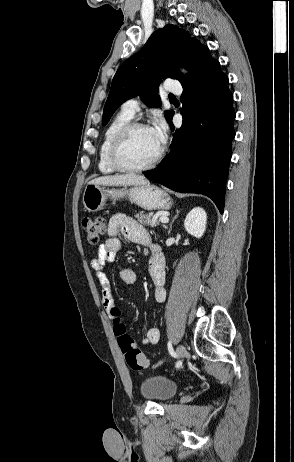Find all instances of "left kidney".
I'll return each instance as SVG.
<instances>
[{
	"label": "left kidney",
	"mask_w": 294,
	"mask_h": 462,
	"mask_svg": "<svg viewBox=\"0 0 294 462\" xmlns=\"http://www.w3.org/2000/svg\"><path fill=\"white\" fill-rule=\"evenodd\" d=\"M206 223V212L202 208L196 207L187 214L184 227L189 234L200 239L206 230Z\"/></svg>",
	"instance_id": "obj_1"
}]
</instances>
